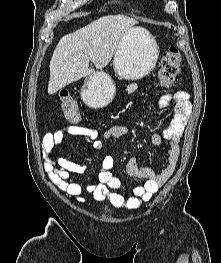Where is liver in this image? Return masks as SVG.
Instances as JSON below:
<instances>
[{
	"instance_id": "liver-1",
	"label": "liver",
	"mask_w": 221,
	"mask_h": 263,
	"mask_svg": "<svg viewBox=\"0 0 221 263\" xmlns=\"http://www.w3.org/2000/svg\"><path fill=\"white\" fill-rule=\"evenodd\" d=\"M136 24L138 21L125 15H106L64 35L50 61L48 93H56L66 85L94 73L95 70L89 68V61L97 69L106 67L123 35Z\"/></svg>"
}]
</instances>
